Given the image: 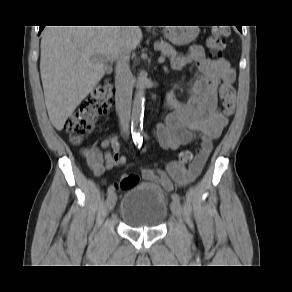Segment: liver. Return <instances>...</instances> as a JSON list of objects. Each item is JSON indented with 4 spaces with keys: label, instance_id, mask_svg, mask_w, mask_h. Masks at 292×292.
Here are the masks:
<instances>
[{
    "label": "liver",
    "instance_id": "1",
    "mask_svg": "<svg viewBox=\"0 0 292 292\" xmlns=\"http://www.w3.org/2000/svg\"><path fill=\"white\" fill-rule=\"evenodd\" d=\"M142 40L139 26H46L40 73L49 119L61 131L66 120L103 78L107 63Z\"/></svg>",
    "mask_w": 292,
    "mask_h": 292
}]
</instances>
